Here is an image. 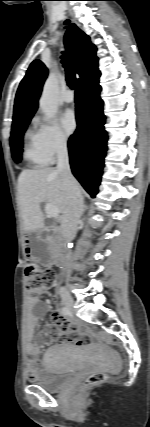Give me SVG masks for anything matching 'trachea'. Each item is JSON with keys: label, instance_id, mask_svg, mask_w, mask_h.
<instances>
[{"label": "trachea", "instance_id": "trachea-1", "mask_svg": "<svg viewBox=\"0 0 150 427\" xmlns=\"http://www.w3.org/2000/svg\"><path fill=\"white\" fill-rule=\"evenodd\" d=\"M68 22L69 21H67V23ZM61 58H62L63 67L65 68V71H66L67 84L72 90H74L76 86V77H75L73 68L71 67L69 61L66 59L65 55H62Z\"/></svg>", "mask_w": 150, "mask_h": 427}]
</instances>
